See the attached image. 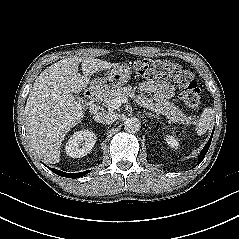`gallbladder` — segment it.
I'll return each mask as SVG.
<instances>
[{
    "label": "gallbladder",
    "instance_id": "1",
    "mask_svg": "<svg viewBox=\"0 0 239 239\" xmlns=\"http://www.w3.org/2000/svg\"><path fill=\"white\" fill-rule=\"evenodd\" d=\"M75 96H76L75 98H76L77 101H79V102L83 101V98L80 97L79 95H75Z\"/></svg>",
    "mask_w": 239,
    "mask_h": 239
}]
</instances>
